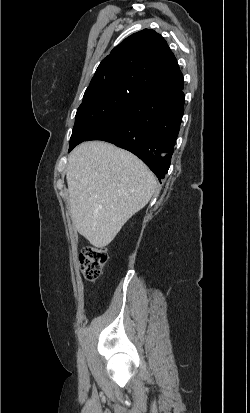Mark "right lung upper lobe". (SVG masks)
Returning a JSON list of instances; mask_svg holds the SVG:
<instances>
[{
  "label": "right lung upper lobe",
  "instance_id": "obj_1",
  "mask_svg": "<svg viewBox=\"0 0 250 413\" xmlns=\"http://www.w3.org/2000/svg\"><path fill=\"white\" fill-rule=\"evenodd\" d=\"M183 83L176 58L164 38L144 29L124 39L101 61L88 88L117 85L144 94Z\"/></svg>",
  "mask_w": 250,
  "mask_h": 413
}]
</instances>
